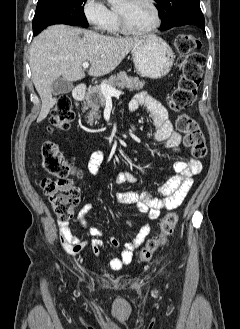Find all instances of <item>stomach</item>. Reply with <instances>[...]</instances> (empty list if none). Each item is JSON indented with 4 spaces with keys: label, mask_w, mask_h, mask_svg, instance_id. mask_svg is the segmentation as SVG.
<instances>
[{
    "label": "stomach",
    "mask_w": 240,
    "mask_h": 329,
    "mask_svg": "<svg viewBox=\"0 0 240 329\" xmlns=\"http://www.w3.org/2000/svg\"><path fill=\"white\" fill-rule=\"evenodd\" d=\"M132 58L140 75L158 79L169 73L175 54L164 40L149 35L132 49Z\"/></svg>",
    "instance_id": "obj_1"
}]
</instances>
